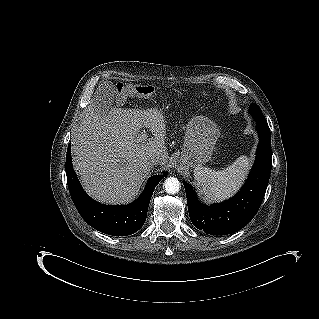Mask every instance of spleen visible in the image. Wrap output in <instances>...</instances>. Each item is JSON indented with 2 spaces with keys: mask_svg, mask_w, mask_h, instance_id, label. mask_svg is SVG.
Instances as JSON below:
<instances>
[{
  "mask_svg": "<svg viewBox=\"0 0 319 319\" xmlns=\"http://www.w3.org/2000/svg\"><path fill=\"white\" fill-rule=\"evenodd\" d=\"M248 170L249 159L247 156H240L223 170L196 167L194 178L206 198L212 201H223L239 189Z\"/></svg>",
  "mask_w": 319,
  "mask_h": 319,
  "instance_id": "spleen-1",
  "label": "spleen"
}]
</instances>
